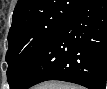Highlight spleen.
<instances>
[{
  "mask_svg": "<svg viewBox=\"0 0 107 89\" xmlns=\"http://www.w3.org/2000/svg\"><path fill=\"white\" fill-rule=\"evenodd\" d=\"M57 89H81V87L79 86H75V85H67V84H59Z\"/></svg>",
  "mask_w": 107,
  "mask_h": 89,
  "instance_id": "1",
  "label": "spleen"
}]
</instances>
